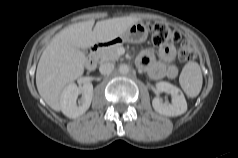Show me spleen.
<instances>
[{"instance_id": "spleen-1", "label": "spleen", "mask_w": 238, "mask_h": 158, "mask_svg": "<svg viewBox=\"0 0 238 158\" xmlns=\"http://www.w3.org/2000/svg\"><path fill=\"white\" fill-rule=\"evenodd\" d=\"M180 85L184 92L190 97H196L202 88V72L200 66L196 62H188L181 74Z\"/></svg>"}]
</instances>
